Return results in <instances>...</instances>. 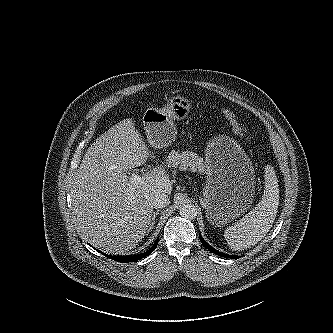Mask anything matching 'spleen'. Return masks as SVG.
Masks as SVG:
<instances>
[{"instance_id": "3e777b00", "label": "spleen", "mask_w": 333, "mask_h": 333, "mask_svg": "<svg viewBox=\"0 0 333 333\" xmlns=\"http://www.w3.org/2000/svg\"><path fill=\"white\" fill-rule=\"evenodd\" d=\"M265 187L256 207L224 231L228 245L242 251L256 245L271 229L279 206L278 178L272 166H265Z\"/></svg>"}]
</instances>
